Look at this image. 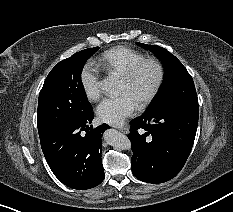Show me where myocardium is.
I'll return each mask as SVG.
<instances>
[{"label":"myocardium","instance_id":"myocardium-1","mask_svg":"<svg viewBox=\"0 0 233 212\" xmlns=\"http://www.w3.org/2000/svg\"><path fill=\"white\" fill-rule=\"evenodd\" d=\"M146 64H153L156 68L157 75L155 82L150 90V92L146 95V97L138 104L140 108H144L148 106L157 96L165 77V70L163 64L154 57H146L135 64H133L122 76L121 79L126 83H131L136 78L139 71Z\"/></svg>","mask_w":233,"mask_h":212}]
</instances>
